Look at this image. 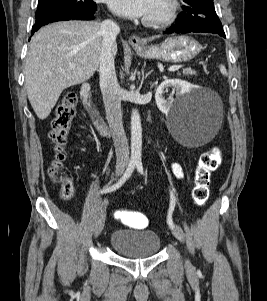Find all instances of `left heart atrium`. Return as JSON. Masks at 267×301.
Listing matches in <instances>:
<instances>
[{
    "instance_id": "left-heart-atrium-1",
    "label": "left heart atrium",
    "mask_w": 267,
    "mask_h": 301,
    "mask_svg": "<svg viewBox=\"0 0 267 301\" xmlns=\"http://www.w3.org/2000/svg\"><path fill=\"white\" fill-rule=\"evenodd\" d=\"M152 0H108L110 9L125 18L146 17Z\"/></svg>"
}]
</instances>
